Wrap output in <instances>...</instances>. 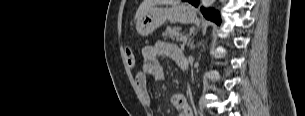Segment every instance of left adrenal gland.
<instances>
[{"label":"left adrenal gland","mask_w":305,"mask_h":116,"mask_svg":"<svg viewBox=\"0 0 305 116\" xmlns=\"http://www.w3.org/2000/svg\"><path fill=\"white\" fill-rule=\"evenodd\" d=\"M189 44H190V49H194L195 48L193 42H189Z\"/></svg>","instance_id":"obj_1"}]
</instances>
